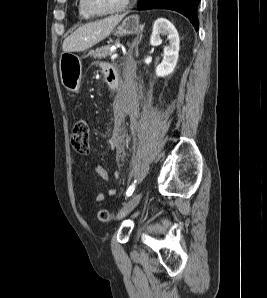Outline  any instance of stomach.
<instances>
[{
	"label": "stomach",
	"mask_w": 267,
	"mask_h": 298,
	"mask_svg": "<svg viewBox=\"0 0 267 298\" xmlns=\"http://www.w3.org/2000/svg\"><path fill=\"white\" fill-rule=\"evenodd\" d=\"M142 26L139 24V16L131 15L115 29L114 35L118 37L138 34ZM82 76L80 59L71 53H63L60 57V77L64 87L71 92H78Z\"/></svg>",
	"instance_id": "0dacf381"
}]
</instances>
